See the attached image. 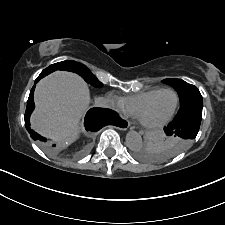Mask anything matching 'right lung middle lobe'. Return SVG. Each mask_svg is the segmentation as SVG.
<instances>
[{
	"label": "right lung middle lobe",
	"mask_w": 225,
	"mask_h": 225,
	"mask_svg": "<svg viewBox=\"0 0 225 225\" xmlns=\"http://www.w3.org/2000/svg\"><path fill=\"white\" fill-rule=\"evenodd\" d=\"M45 70L55 71V70H65L71 71L79 74L83 79L93 85L94 87L101 88L103 84L91 73V71L83 64L77 63L75 61H62L50 65Z\"/></svg>",
	"instance_id": "dd1d6c3e"
}]
</instances>
